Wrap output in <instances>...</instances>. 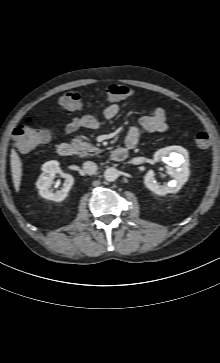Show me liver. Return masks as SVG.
<instances>
[{
    "label": "liver",
    "mask_w": 220,
    "mask_h": 363,
    "mask_svg": "<svg viewBox=\"0 0 220 363\" xmlns=\"http://www.w3.org/2000/svg\"><path fill=\"white\" fill-rule=\"evenodd\" d=\"M10 162L14 188L16 192H19L22 178V162L14 149L11 151Z\"/></svg>",
    "instance_id": "liver-1"
}]
</instances>
